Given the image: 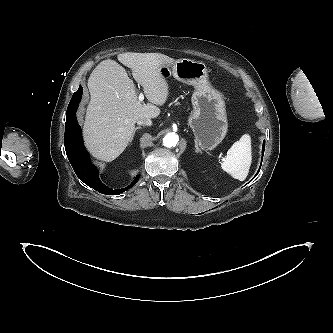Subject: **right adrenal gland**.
Returning a JSON list of instances; mask_svg holds the SVG:
<instances>
[{
  "label": "right adrenal gland",
  "instance_id": "2a0ac1e0",
  "mask_svg": "<svg viewBox=\"0 0 333 333\" xmlns=\"http://www.w3.org/2000/svg\"><path fill=\"white\" fill-rule=\"evenodd\" d=\"M140 128H141V127L138 126V127H136V128L134 129V132H133V135H132V137H131L130 142L133 140V137H134V135H135V132H136L138 129H140Z\"/></svg>",
  "mask_w": 333,
  "mask_h": 333
}]
</instances>
